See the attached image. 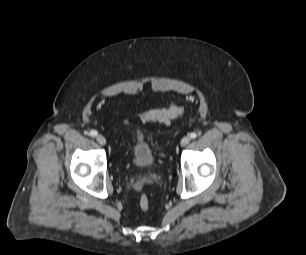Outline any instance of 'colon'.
Instances as JSON below:
<instances>
[{"instance_id": "obj_1", "label": "colon", "mask_w": 306, "mask_h": 255, "mask_svg": "<svg viewBox=\"0 0 306 255\" xmlns=\"http://www.w3.org/2000/svg\"><path fill=\"white\" fill-rule=\"evenodd\" d=\"M184 113V108L177 104H171L165 108H154L138 113V118L144 122L157 121L166 122ZM139 206L143 211L150 208V199L147 194L143 193L139 199Z\"/></svg>"}]
</instances>
